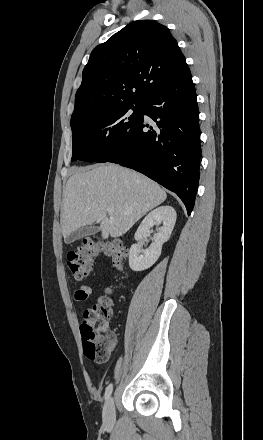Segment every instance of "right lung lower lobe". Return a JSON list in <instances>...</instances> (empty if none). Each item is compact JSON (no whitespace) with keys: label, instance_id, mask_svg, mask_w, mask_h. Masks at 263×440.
I'll return each instance as SVG.
<instances>
[{"label":"right lung lower lobe","instance_id":"1","mask_svg":"<svg viewBox=\"0 0 263 440\" xmlns=\"http://www.w3.org/2000/svg\"><path fill=\"white\" fill-rule=\"evenodd\" d=\"M137 127L96 162H113L143 173L194 207L199 182L200 131L190 70L147 95ZM143 114L155 125L144 123Z\"/></svg>","mask_w":263,"mask_h":440}]
</instances>
